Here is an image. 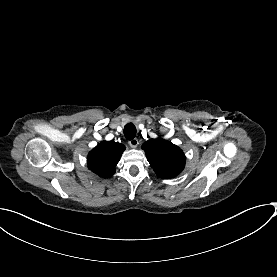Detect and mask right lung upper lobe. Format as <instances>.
Here are the masks:
<instances>
[{
  "label": "right lung upper lobe",
  "mask_w": 277,
  "mask_h": 277,
  "mask_svg": "<svg viewBox=\"0 0 277 277\" xmlns=\"http://www.w3.org/2000/svg\"><path fill=\"white\" fill-rule=\"evenodd\" d=\"M124 150L125 146L121 143L102 141L88 154L89 169L102 178L111 177Z\"/></svg>",
  "instance_id": "obj_1"
}]
</instances>
